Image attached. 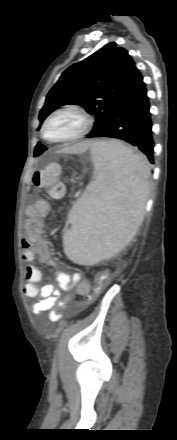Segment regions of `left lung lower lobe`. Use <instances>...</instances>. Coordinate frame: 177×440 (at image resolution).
<instances>
[{
  "label": "left lung lower lobe",
  "mask_w": 177,
  "mask_h": 440,
  "mask_svg": "<svg viewBox=\"0 0 177 440\" xmlns=\"http://www.w3.org/2000/svg\"><path fill=\"white\" fill-rule=\"evenodd\" d=\"M87 137H110L124 140L136 146L154 164L150 104L143 77L107 122Z\"/></svg>",
  "instance_id": "left-lung-lower-lobe-1"
}]
</instances>
